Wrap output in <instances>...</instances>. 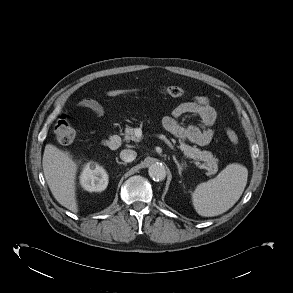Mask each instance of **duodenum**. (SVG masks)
Wrapping results in <instances>:
<instances>
[{
    "instance_id": "410a0bca",
    "label": "duodenum",
    "mask_w": 293,
    "mask_h": 293,
    "mask_svg": "<svg viewBox=\"0 0 293 293\" xmlns=\"http://www.w3.org/2000/svg\"><path fill=\"white\" fill-rule=\"evenodd\" d=\"M104 145L110 150H116L121 145V139L117 135H112L104 140Z\"/></svg>"
}]
</instances>
